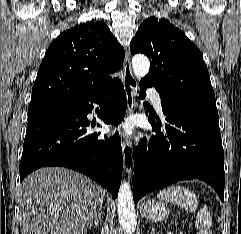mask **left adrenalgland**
<instances>
[{"instance_id":"obj_1","label":"left adrenal gland","mask_w":241,"mask_h":234,"mask_svg":"<svg viewBox=\"0 0 241 234\" xmlns=\"http://www.w3.org/2000/svg\"><path fill=\"white\" fill-rule=\"evenodd\" d=\"M150 234H155V228L152 226L151 233Z\"/></svg>"}]
</instances>
